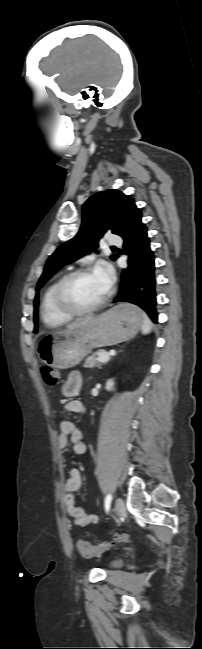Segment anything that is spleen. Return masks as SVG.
Wrapping results in <instances>:
<instances>
[{
  "label": "spleen",
  "mask_w": 202,
  "mask_h": 649,
  "mask_svg": "<svg viewBox=\"0 0 202 649\" xmlns=\"http://www.w3.org/2000/svg\"><path fill=\"white\" fill-rule=\"evenodd\" d=\"M142 316H143V323L141 326V331L143 334H148L151 331L152 324L150 319L145 313H142Z\"/></svg>",
  "instance_id": "spleen-1"
}]
</instances>
